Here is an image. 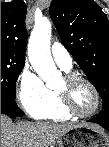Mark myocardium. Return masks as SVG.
<instances>
[{"label":"myocardium","instance_id":"myocardium-1","mask_svg":"<svg viewBox=\"0 0 109 147\" xmlns=\"http://www.w3.org/2000/svg\"><path fill=\"white\" fill-rule=\"evenodd\" d=\"M65 88L63 90H57V94L59 95L63 107L73 116L80 117V118H87L93 116L100 107V94L95 85L88 80L87 78L77 75V74H71L66 76L65 78ZM78 83H84L86 84L93 92L95 96V105L93 109L90 112L82 113L80 112L73 100V88Z\"/></svg>","mask_w":109,"mask_h":147}]
</instances>
